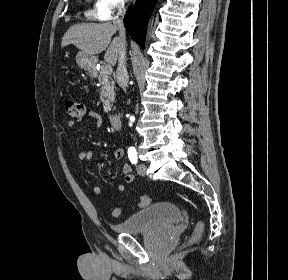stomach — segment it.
<instances>
[{"instance_id":"stomach-1","label":"stomach","mask_w":288,"mask_h":280,"mask_svg":"<svg viewBox=\"0 0 288 280\" xmlns=\"http://www.w3.org/2000/svg\"><path fill=\"white\" fill-rule=\"evenodd\" d=\"M76 62L81 68L91 71L95 68L97 58L83 51H79L76 55Z\"/></svg>"}]
</instances>
